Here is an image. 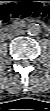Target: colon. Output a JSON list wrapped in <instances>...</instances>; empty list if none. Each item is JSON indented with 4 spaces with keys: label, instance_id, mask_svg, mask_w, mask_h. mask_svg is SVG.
Listing matches in <instances>:
<instances>
[{
    "label": "colon",
    "instance_id": "5ec220e1",
    "mask_svg": "<svg viewBox=\"0 0 50 111\" xmlns=\"http://www.w3.org/2000/svg\"><path fill=\"white\" fill-rule=\"evenodd\" d=\"M36 16L48 19L50 8L43 0H11L0 8V19Z\"/></svg>",
    "mask_w": 50,
    "mask_h": 111
}]
</instances>
